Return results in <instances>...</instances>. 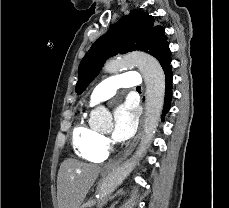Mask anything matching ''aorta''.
Masks as SVG:
<instances>
[{"mask_svg":"<svg viewBox=\"0 0 229 208\" xmlns=\"http://www.w3.org/2000/svg\"><path fill=\"white\" fill-rule=\"evenodd\" d=\"M138 67L146 84V111L144 134L135 154L119 167L115 168L103 180L97 195V206L102 208L108 196L133 171L138 160L144 155L155 135L162 112L165 97V75L159 62L145 53H131L119 59L109 60L104 65L108 73ZM112 116L104 106H98L90 113V123L94 128H107Z\"/></svg>","mask_w":229,"mask_h":208,"instance_id":"aorta-1","label":"aorta"}]
</instances>
